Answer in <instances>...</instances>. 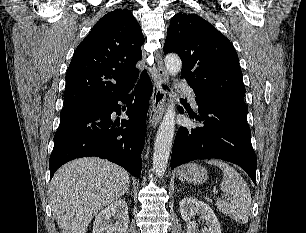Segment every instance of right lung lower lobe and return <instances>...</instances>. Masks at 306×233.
Returning <instances> with one entry per match:
<instances>
[{
    "instance_id": "right-lung-lower-lobe-1",
    "label": "right lung lower lobe",
    "mask_w": 306,
    "mask_h": 233,
    "mask_svg": "<svg viewBox=\"0 0 306 233\" xmlns=\"http://www.w3.org/2000/svg\"><path fill=\"white\" fill-rule=\"evenodd\" d=\"M136 90L138 99L133 104L125 93L112 102L60 117L49 160L50 179L66 162L87 156L108 159L139 178L148 101L152 94V83L147 74L140 78ZM118 101L128 104V120L111 119L113 112L120 114Z\"/></svg>"
}]
</instances>
